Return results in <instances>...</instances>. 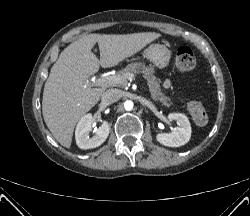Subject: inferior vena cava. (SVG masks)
<instances>
[{
  "mask_svg": "<svg viewBox=\"0 0 250 216\" xmlns=\"http://www.w3.org/2000/svg\"><path fill=\"white\" fill-rule=\"evenodd\" d=\"M123 96V93L119 89H109L102 95V101H104L107 104H112L114 102H117L120 100V98Z\"/></svg>",
  "mask_w": 250,
  "mask_h": 216,
  "instance_id": "inferior-vena-cava-1",
  "label": "inferior vena cava"
}]
</instances>
